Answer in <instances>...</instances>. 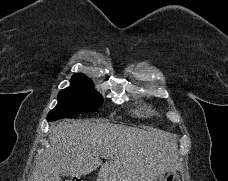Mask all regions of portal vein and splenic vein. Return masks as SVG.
<instances>
[{
    "label": "portal vein and splenic vein",
    "instance_id": "portal-vein-and-splenic-vein-1",
    "mask_svg": "<svg viewBox=\"0 0 228 181\" xmlns=\"http://www.w3.org/2000/svg\"><path fill=\"white\" fill-rule=\"evenodd\" d=\"M103 159H107V155H102Z\"/></svg>",
    "mask_w": 228,
    "mask_h": 181
}]
</instances>
